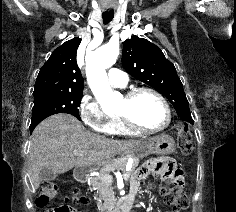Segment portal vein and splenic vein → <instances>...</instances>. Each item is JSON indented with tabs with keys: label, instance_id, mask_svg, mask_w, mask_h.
<instances>
[{
	"label": "portal vein and splenic vein",
	"instance_id": "1",
	"mask_svg": "<svg viewBox=\"0 0 236 212\" xmlns=\"http://www.w3.org/2000/svg\"><path fill=\"white\" fill-rule=\"evenodd\" d=\"M73 154L74 155H82L81 152H79V151H74ZM127 177H128L127 175H123L124 179H127ZM103 180L106 181V182L111 183L112 182V176L111 175H104Z\"/></svg>",
	"mask_w": 236,
	"mask_h": 212
}]
</instances>
